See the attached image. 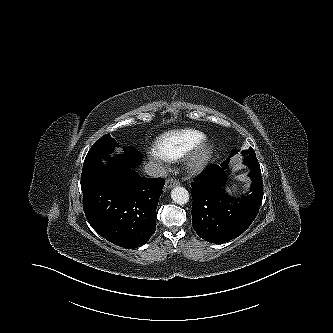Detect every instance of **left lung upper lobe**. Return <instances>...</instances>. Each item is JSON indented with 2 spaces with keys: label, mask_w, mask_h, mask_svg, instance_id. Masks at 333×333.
<instances>
[{
  "label": "left lung upper lobe",
  "mask_w": 333,
  "mask_h": 333,
  "mask_svg": "<svg viewBox=\"0 0 333 333\" xmlns=\"http://www.w3.org/2000/svg\"><path fill=\"white\" fill-rule=\"evenodd\" d=\"M247 152H248L249 154H253L254 157H253V159L251 160V163H245V164H246L247 166L250 167L251 171L256 172V173H261L260 168H259V163H258V161H257V159H256V155H255L254 150L250 147V148L247 150ZM236 153H237L236 150H232V151H231V155H232V156H233L234 154H236Z\"/></svg>",
  "instance_id": "obj_1"
}]
</instances>
